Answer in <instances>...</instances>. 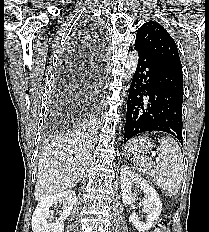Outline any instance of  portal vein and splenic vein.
Wrapping results in <instances>:
<instances>
[{"label":"portal vein and splenic vein","mask_w":209,"mask_h":232,"mask_svg":"<svg viewBox=\"0 0 209 232\" xmlns=\"http://www.w3.org/2000/svg\"><path fill=\"white\" fill-rule=\"evenodd\" d=\"M160 160V158L159 157H156V161H159Z\"/></svg>","instance_id":"portal-vein-and-splenic-vein-1"}]
</instances>
